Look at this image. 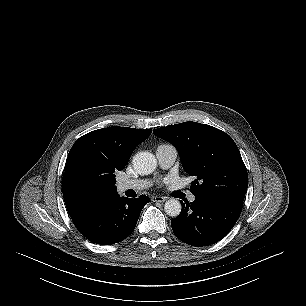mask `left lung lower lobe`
<instances>
[{"label": "left lung lower lobe", "mask_w": 306, "mask_h": 306, "mask_svg": "<svg viewBox=\"0 0 306 306\" xmlns=\"http://www.w3.org/2000/svg\"><path fill=\"white\" fill-rule=\"evenodd\" d=\"M243 201L228 197H196L182 203V211L171 221L174 234L186 244L207 246L224 238L237 222Z\"/></svg>", "instance_id": "obj_1"}]
</instances>
